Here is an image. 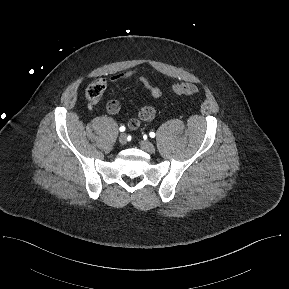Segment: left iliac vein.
<instances>
[{
  "mask_svg": "<svg viewBox=\"0 0 289 289\" xmlns=\"http://www.w3.org/2000/svg\"><path fill=\"white\" fill-rule=\"evenodd\" d=\"M140 145H141V148L148 153H154L155 152V146L147 140H142L140 142Z\"/></svg>",
  "mask_w": 289,
  "mask_h": 289,
  "instance_id": "obj_1",
  "label": "left iliac vein"
}]
</instances>
